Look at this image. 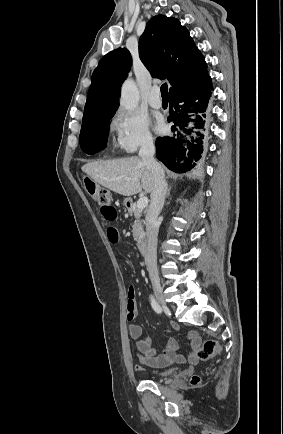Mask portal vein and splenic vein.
<instances>
[{"label": "portal vein and splenic vein", "mask_w": 283, "mask_h": 434, "mask_svg": "<svg viewBox=\"0 0 283 434\" xmlns=\"http://www.w3.org/2000/svg\"><path fill=\"white\" fill-rule=\"evenodd\" d=\"M148 205V198L147 197H141L137 201V208L140 210H143Z\"/></svg>", "instance_id": "18ae733b"}]
</instances>
